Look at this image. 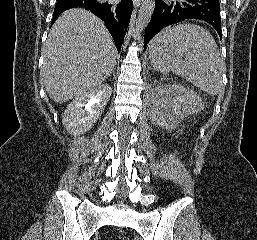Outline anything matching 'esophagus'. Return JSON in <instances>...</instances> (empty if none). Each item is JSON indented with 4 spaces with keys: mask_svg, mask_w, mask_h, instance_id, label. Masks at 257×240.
<instances>
[{
    "mask_svg": "<svg viewBox=\"0 0 257 240\" xmlns=\"http://www.w3.org/2000/svg\"><path fill=\"white\" fill-rule=\"evenodd\" d=\"M142 2H143V0H133V4L135 7H139Z\"/></svg>",
    "mask_w": 257,
    "mask_h": 240,
    "instance_id": "esophagus-1",
    "label": "esophagus"
}]
</instances>
